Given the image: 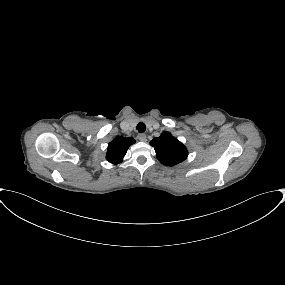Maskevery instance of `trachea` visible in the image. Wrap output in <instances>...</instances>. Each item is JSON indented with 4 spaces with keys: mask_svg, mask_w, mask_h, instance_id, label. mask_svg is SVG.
I'll return each mask as SVG.
<instances>
[{
    "mask_svg": "<svg viewBox=\"0 0 285 285\" xmlns=\"http://www.w3.org/2000/svg\"><path fill=\"white\" fill-rule=\"evenodd\" d=\"M136 128H137L138 132L142 133V132H145L146 125L143 122H140L137 124Z\"/></svg>",
    "mask_w": 285,
    "mask_h": 285,
    "instance_id": "obj_1",
    "label": "trachea"
}]
</instances>
